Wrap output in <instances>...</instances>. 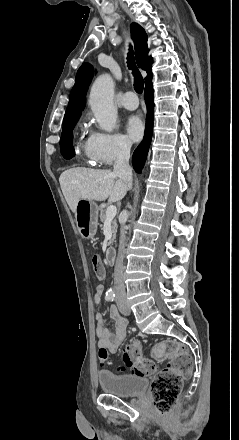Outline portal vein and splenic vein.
I'll return each instance as SVG.
<instances>
[{
    "label": "portal vein and splenic vein",
    "mask_w": 239,
    "mask_h": 440,
    "mask_svg": "<svg viewBox=\"0 0 239 440\" xmlns=\"http://www.w3.org/2000/svg\"><path fill=\"white\" fill-rule=\"evenodd\" d=\"M117 214V208L116 206H109V208H107V212H106V222H111V220H113V218H115Z\"/></svg>",
    "instance_id": "1"
}]
</instances>
